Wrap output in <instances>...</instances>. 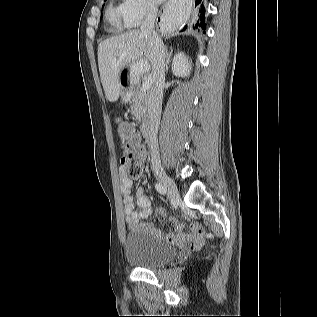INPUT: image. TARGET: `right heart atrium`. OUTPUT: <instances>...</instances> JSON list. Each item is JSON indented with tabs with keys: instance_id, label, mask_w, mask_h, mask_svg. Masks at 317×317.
Listing matches in <instances>:
<instances>
[{
	"instance_id": "obj_1",
	"label": "right heart atrium",
	"mask_w": 317,
	"mask_h": 317,
	"mask_svg": "<svg viewBox=\"0 0 317 317\" xmlns=\"http://www.w3.org/2000/svg\"><path fill=\"white\" fill-rule=\"evenodd\" d=\"M121 5L124 17L132 28L156 13V7L150 0H123Z\"/></svg>"
}]
</instances>
